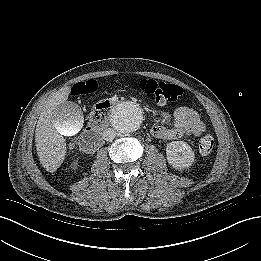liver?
<instances>
[{
    "mask_svg": "<svg viewBox=\"0 0 261 261\" xmlns=\"http://www.w3.org/2000/svg\"><path fill=\"white\" fill-rule=\"evenodd\" d=\"M71 88L64 86L50 95L43 103L40 117L35 130V143L40 164L48 172L56 171L63 163L66 155V141L63 135L77 133L83 124V113L76 104L73 130L70 133L63 131L64 127L56 118V109L67 101Z\"/></svg>",
    "mask_w": 261,
    "mask_h": 261,
    "instance_id": "6515ba94",
    "label": "liver"
}]
</instances>
